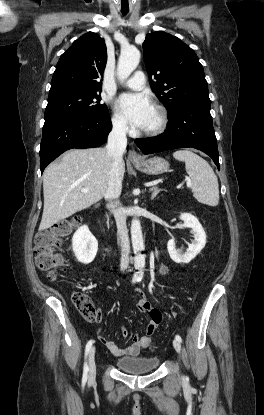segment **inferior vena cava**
I'll use <instances>...</instances> for the list:
<instances>
[{
	"label": "inferior vena cava",
	"mask_w": 264,
	"mask_h": 415,
	"mask_svg": "<svg viewBox=\"0 0 264 415\" xmlns=\"http://www.w3.org/2000/svg\"><path fill=\"white\" fill-rule=\"evenodd\" d=\"M126 124L123 122H115L112 131L108 136V143L106 146L107 154L112 158V166L110 177L108 181L106 199H118L122 190V172L121 165L123 163V153L126 150ZM117 225V234L121 246V270H125L129 266V251L130 242L128 236V229L126 226V215L122 207H116L113 210Z\"/></svg>",
	"instance_id": "602c4592"
}]
</instances>
